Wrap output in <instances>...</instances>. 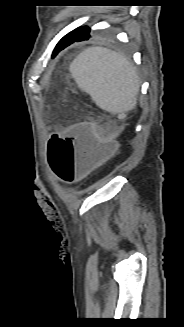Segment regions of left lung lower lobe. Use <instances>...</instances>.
I'll return each instance as SVG.
<instances>
[{
    "instance_id": "left-lung-lower-lobe-1",
    "label": "left lung lower lobe",
    "mask_w": 184,
    "mask_h": 327,
    "mask_svg": "<svg viewBox=\"0 0 184 327\" xmlns=\"http://www.w3.org/2000/svg\"><path fill=\"white\" fill-rule=\"evenodd\" d=\"M77 29V28H76ZM73 30L70 33H68L67 35H65L56 45L53 54H52V58H54L61 50H63L65 47L69 46L70 44L74 43V42H80V41H84V40H88L90 38V34L88 35H80L78 30Z\"/></svg>"
}]
</instances>
